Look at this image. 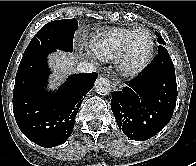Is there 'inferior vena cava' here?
I'll return each mask as SVG.
<instances>
[{
  "label": "inferior vena cava",
  "mask_w": 196,
  "mask_h": 166,
  "mask_svg": "<svg viewBox=\"0 0 196 166\" xmlns=\"http://www.w3.org/2000/svg\"><path fill=\"white\" fill-rule=\"evenodd\" d=\"M77 71L80 73L96 72V67L89 62H81L77 65Z\"/></svg>",
  "instance_id": "inferior-vena-cava-1"
}]
</instances>
